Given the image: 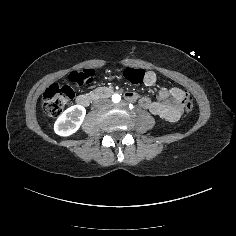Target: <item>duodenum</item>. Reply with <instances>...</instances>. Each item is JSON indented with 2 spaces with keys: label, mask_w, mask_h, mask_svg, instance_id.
Listing matches in <instances>:
<instances>
[{
  "label": "duodenum",
  "mask_w": 236,
  "mask_h": 236,
  "mask_svg": "<svg viewBox=\"0 0 236 236\" xmlns=\"http://www.w3.org/2000/svg\"><path fill=\"white\" fill-rule=\"evenodd\" d=\"M113 91L109 88H98L91 92L81 94L77 97L76 102L82 107L89 106L93 101L110 96ZM161 97L163 94L160 95ZM126 98L129 101H134L136 96L133 93H127ZM140 105L149 109L153 114L158 115L170 121H176L180 117V100L171 93V98L165 101H150L143 99L140 101Z\"/></svg>",
  "instance_id": "410a0bca"
}]
</instances>
